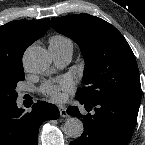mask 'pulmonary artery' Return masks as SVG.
<instances>
[{"label": "pulmonary artery", "instance_id": "1", "mask_svg": "<svg viewBox=\"0 0 145 145\" xmlns=\"http://www.w3.org/2000/svg\"><path fill=\"white\" fill-rule=\"evenodd\" d=\"M52 57L56 64L58 65H65L67 64L72 56V50L64 49V50H52L50 49Z\"/></svg>", "mask_w": 145, "mask_h": 145}]
</instances>
